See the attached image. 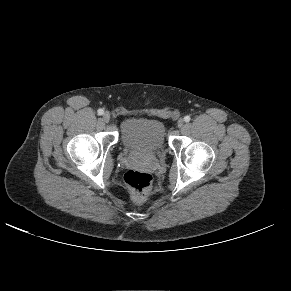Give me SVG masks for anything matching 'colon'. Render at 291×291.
<instances>
[{
	"label": "colon",
	"mask_w": 291,
	"mask_h": 291,
	"mask_svg": "<svg viewBox=\"0 0 291 291\" xmlns=\"http://www.w3.org/2000/svg\"><path fill=\"white\" fill-rule=\"evenodd\" d=\"M124 180L135 201L141 202L146 198L152 183L150 174L143 171L130 170L125 174Z\"/></svg>",
	"instance_id": "colon-1"
}]
</instances>
